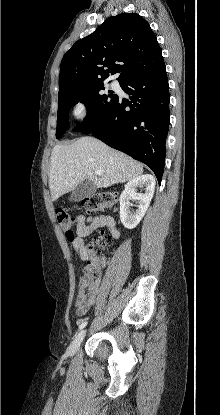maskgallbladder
<instances>
[{
	"instance_id": "bac80fb5",
	"label": "gallbladder",
	"mask_w": 220,
	"mask_h": 415,
	"mask_svg": "<svg viewBox=\"0 0 220 415\" xmlns=\"http://www.w3.org/2000/svg\"><path fill=\"white\" fill-rule=\"evenodd\" d=\"M95 191L96 185L89 179H85L72 191L69 199L70 201H81L84 198L92 196Z\"/></svg>"
}]
</instances>
